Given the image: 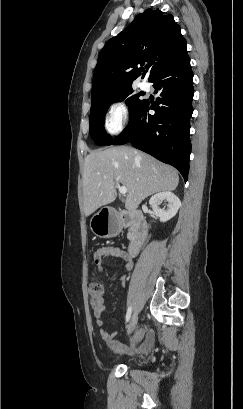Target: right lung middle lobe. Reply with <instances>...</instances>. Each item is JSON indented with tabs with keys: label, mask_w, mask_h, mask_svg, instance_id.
<instances>
[{
	"label": "right lung middle lobe",
	"mask_w": 243,
	"mask_h": 409,
	"mask_svg": "<svg viewBox=\"0 0 243 409\" xmlns=\"http://www.w3.org/2000/svg\"><path fill=\"white\" fill-rule=\"evenodd\" d=\"M132 87L120 90L99 100L91 102L90 135L97 145H109L113 140L104 129V117L109 105L113 102L126 100L130 118L143 100L138 95H132Z\"/></svg>",
	"instance_id": "dd1d6c3e"
}]
</instances>
